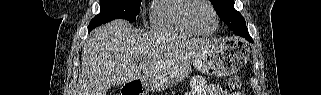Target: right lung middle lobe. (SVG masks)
Masks as SVG:
<instances>
[{"mask_svg": "<svg viewBox=\"0 0 321 95\" xmlns=\"http://www.w3.org/2000/svg\"><path fill=\"white\" fill-rule=\"evenodd\" d=\"M140 5L141 0H100V13L90 21L88 30L114 19L135 21Z\"/></svg>", "mask_w": 321, "mask_h": 95, "instance_id": "1", "label": "right lung middle lobe"}]
</instances>
